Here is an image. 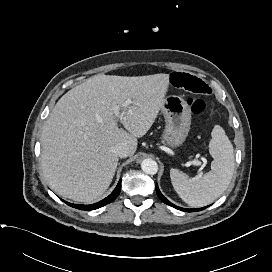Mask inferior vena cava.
<instances>
[{"label": "inferior vena cava", "mask_w": 272, "mask_h": 272, "mask_svg": "<svg viewBox=\"0 0 272 272\" xmlns=\"http://www.w3.org/2000/svg\"><path fill=\"white\" fill-rule=\"evenodd\" d=\"M112 151L120 158H124V157L129 156V148H128L127 144H125V143H120V144L115 145L112 148Z\"/></svg>", "instance_id": "inferior-vena-cava-1"}]
</instances>
